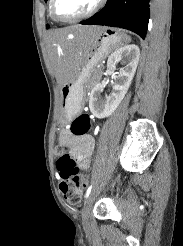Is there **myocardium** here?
<instances>
[{"instance_id":"f54148a6","label":"myocardium","mask_w":183,"mask_h":246,"mask_svg":"<svg viewBox=\"0 0 183 246\" xmlns=\"http://www.w3.org/2000/svg\"><path fill=\"white\" fill-rule=\"evenodd\" d=\"M104 2L105 0H97L94 6L87 12L81 15L75 16V17L65 18V17H60L57 15V12H56L57 0H50V15L54 20L59 21V22H65V23L77 22V21L86 19L94 15L102 7Z\"/></svg>"}]
</instances>
